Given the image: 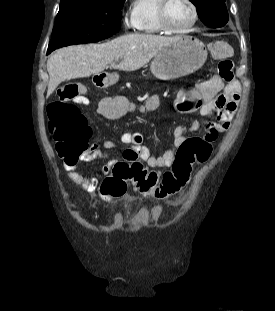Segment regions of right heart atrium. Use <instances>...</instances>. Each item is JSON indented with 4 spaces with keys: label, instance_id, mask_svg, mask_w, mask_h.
Segmentation results:
<instances>
[{
    "label": "right heart atrium",
    "instance_id": "right-heart-atrium-1",
    "mask_svg": "<svg viewBox=\"0 0 275 311\" xmlns=\"http://www.w3.org/2000/svg\"><path fill=\"white\" fill-rule=\"evenodd\" d=\"M122 22H123V25L125 26V28H127V29H136V24H135V21L132 18V16L123 17Z\"/></svg>",
    "mask_w": 275,
    "mask_h": 311
}]
</instances>
